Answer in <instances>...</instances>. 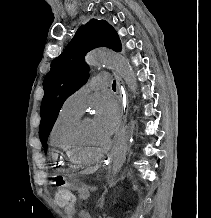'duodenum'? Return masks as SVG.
<instances>
[{
	"mask_svg": "<svg viewBox=\"0 0 211 218\" xmlns=\"http://www.w3.org/2000/svg\"><path fill=\"white\" fill-rule=\"evenodd\" d=\"M79 216L80 218H92L90 212L87 210H81Z\"/></svg>",
	"mask_w": 211,
	"mask_h": 218,
	"instance_id": "1",
	"label": "duodenum"
}]
</instances>
